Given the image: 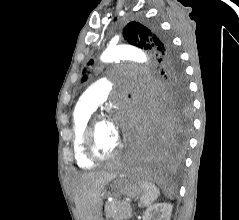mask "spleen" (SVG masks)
Here are the masks:
<instances>
[{
	"mask_svg": "<svg viewBox=\"0 0 239 220\" xmlns=\"http://www.w3.org/2000/svg\"><path fill=\"white\" fill-rule=\"evenodd\" d=\"M143 194L140 197L139 207H147L153 203L160 195L159 189L148 181H138Z\"/></svg>",
	"mask_w": 239,
	"mask_h": 220,
	"instance_id": "1",
	"label": "spleen"
}]
</instances>
